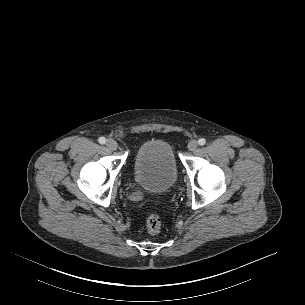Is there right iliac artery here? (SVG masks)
I'll return each instance as SVG.
<instances>
[{"label":"right iliac artery","mask_w":305,"mask_h":305,"mask_svg":"<svg viewBox=\"0 0 305 305\" xmlns=\"http://www.w3.org/2000/svg\"><path fill=\"white\" fill-rule=\"evenodd\" d=\"M98 141H99L100 144H105L106 139H105L104 137H100V138L98 139Z\"/></svg>","instance_id":"1"}]
</instances>
